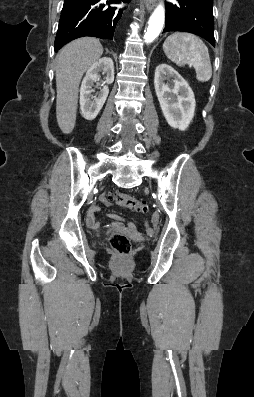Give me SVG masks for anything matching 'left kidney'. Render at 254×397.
I'll return each instance as SVG.
<instances>
[{"mask_svg":"<svg viewBox=\"0 0 254 397\" xmlns=\"http://www.w3.org/2000/svg\"><path fill=\"white\" fill-rule=\"evenodd\" d=\"M167 77L172 78L171 86L164 82ZM154 86L167 123L172 128L186 130L196 106L194 93L187 81L171 66L161 64L155 69Z\"/></svg>","mask_w":254,"mask_h":397,"instance_id":"obj_1","label":"left kidney"}]
</instances>
